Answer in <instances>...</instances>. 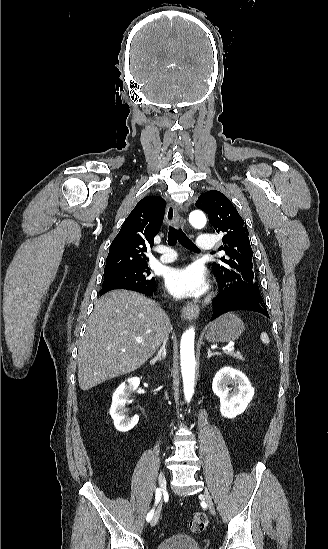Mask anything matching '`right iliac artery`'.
Here are the masks:
<instances>
[{"label":"right iliac artery","instance_id":"obj_1","mask_svg":"<svg viewBox=\"0 0 328 549\" xmlns=\"http://www.w3.org/2000/svg\"><path fill=\"white\" fill-rule=\"evenodd\" d=\"M161 499V490L159 488L156 489V493H155V505L160 501ZM153 514H154V509H152L148 514H147V517H146V520L149 522L152 517H153Z\"/></svg>","mask_w":328,"mask_h":549}]
</instances>
